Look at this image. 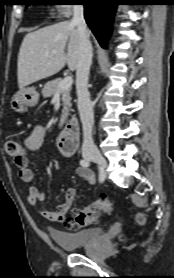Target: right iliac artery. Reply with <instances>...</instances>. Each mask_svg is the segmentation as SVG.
<instances>
[{"label":"right iliac artery","mask_w":174,"mask_h":278,"mask_svg":"<svg viewBox=\"0 0 174 278\" xmlns=\"http://www.w3.org/2000/svg\"><path fill=\"white\" fill-rule=\"evenodd\" d=\"M80 165L83 167H88L90 165V162L87 159H82L80 161ZM105 178V173L104 171L100 168V174H99V180L103 181Z\"/></svg>","instance_id":"right-iliac-artery-1"}]
</instances>
